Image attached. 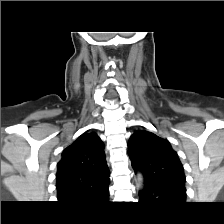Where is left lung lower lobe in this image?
Returning a JSON list of instances; mask_svg holds the SVG:
<instances>
[{"instance_id": "left-lung-lower-lobe-1", "label": "left lung lower lobe", "mask_w": 224, "mask_h": 224, "mask_svg": "<svg viewBox=\"0 0 224 224\" xmlns=\"http://www.w3.org/2000/svg\"><path fill=\"white\" fill-rule=\"evenodd\" d=\"M140 193L141 202L182 204L186 199L185 187L179 185L156 184L145 181Z\"/></svg>"}]
</instances>
